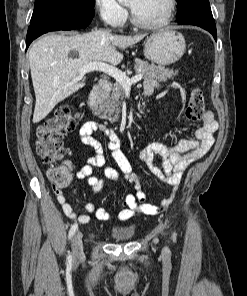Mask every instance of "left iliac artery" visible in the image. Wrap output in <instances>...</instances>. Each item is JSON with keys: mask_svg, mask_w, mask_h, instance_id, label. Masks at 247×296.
Masks as SVG:
<instances>
[{"mask_svg": "<svg viewBox=\"0 0 247 296\" xmlns=\"http://www.w3.org/2000/svg\"><path fill=\"white\" fill-rule=\"evenodd\" d=\"M173 238H174V240L176 239V235H175V233L173 234Z\"/></svg>", "mask_w": 247, "mask_h": 296, "instance_id": "left-iliac-artery-1", "label": "left iliac artery"}]
</instances>
